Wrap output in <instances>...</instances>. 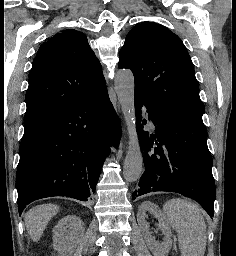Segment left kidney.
Listing matches in <instances>:
<instances>
[{
    "mask_svg": "<svg viewBox=\"0 0 236 256\" xmlns=\"http://www.w3.org/2000/svg\"><path fill=\"white\" fill-rule=\"evenodd\" d=\"M146 212L153 214L155 218H158V230H161L164 238V242H156L155 238H151L149 232V224L146 222ZM137 222L139 228L144 236V240L153 256H168L172 246V234L166 214L160 210L159 206L152 204V202H142L137 212Z\"/></svg>",
    "mask_w": 236,
    "mask_h": 256,
    "instance_id": "5707ae66",
    "label": "left kidney"
}]
</instances>
